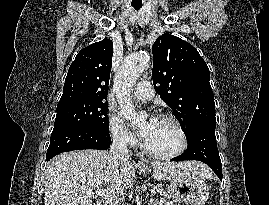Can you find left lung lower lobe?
<instances>
[{
  "instance_id": "0a47b994",
  "label": "left lung lower lobe",
  "mask_w": 269,
  "mask_h": 205,
  "mask_svg": "<svg viewBox=\"0 0 269 205\" xmlns=\"http://www.w3.org/2000/svg\"><path fill=\"white\" fill-rule=\"evenodd\" d=\"M216 124H203L187 138L188 147L184 154L171 161L198 160L207 164L222 180V165L215 136Z\"/></svg>"
}]
</instances>
